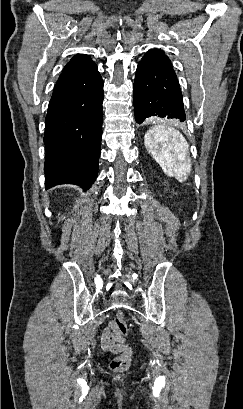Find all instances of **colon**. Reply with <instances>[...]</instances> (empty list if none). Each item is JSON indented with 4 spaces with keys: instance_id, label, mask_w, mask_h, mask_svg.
Instances as JSON below:
<instances>
[{
    "instance_id": "5ec220e1",
    "label": "colon",
    "mask_w": 243,
    "mask_h": 409,
    "mask_svg": "<svg viewBox=\"0 0 243 409\" xmlns=\"http://www.w3.org/2000/svg\"><path fill=\"white\" fill-rule=\"evenodd\" d=\"M113 324L115 335L123 343L124 350L111 361L110 366L113 370L121 371L130 366L132 359L131 346L126 342L128 328L122 312L117 313Z\"/></svg>"
}]
</instances>
